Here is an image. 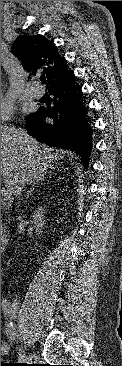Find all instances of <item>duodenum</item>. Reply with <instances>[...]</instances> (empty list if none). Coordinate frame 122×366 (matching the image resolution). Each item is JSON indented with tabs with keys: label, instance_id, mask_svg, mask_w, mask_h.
Instances as JSON below:
<instances>
[{
	"label": "duodenum",
	"instance_id": "obj_1",
	"mask_svg": "<svg viewBox=\"0 0 122 366\" xmlns=\"http://www.w3.org/2000/svg\"><path fill=\"white\" fill-rule=\"evenodd\" d=\"M5 241H7V236L5 231L2 228V223H1V247L4 245Z\"/></svg>",
	"mask_w": 122,
	"mask_h": 366
}]
</instances>
